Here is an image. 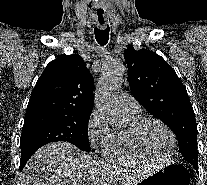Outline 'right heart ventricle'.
<instances>
[{
	"label": "right heart ventricle",
	"mask_w": 207,
	"mask_h": 185,
	"mask_svg": "<svg viewBox=\"0 0 207 185\" xmlns=\"http://www.w3.org/2000/svg\"><path fill=\"white\" fill-rule=\"evenodd\" d=\"M127 115L129 117L128 125L111 131L102 142V154L106 160L123 165L150 163V160L138 151L130 138L132 125L141 117L139 113H127Z\"/></svg>",
	"instance_id": "right-heart-ventricle-1"
}]
</instances>
